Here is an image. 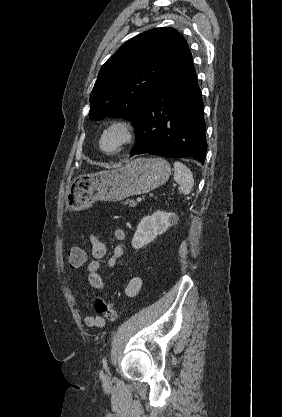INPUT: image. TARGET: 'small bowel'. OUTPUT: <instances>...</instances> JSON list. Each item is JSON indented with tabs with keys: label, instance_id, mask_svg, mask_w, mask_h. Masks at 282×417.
Wrapping results in <instances>:
<instances>
[{
	"label": "small bowel",
	"instance_id": "c3829d8e",
	"mask_svg": "<svg viewBox=\"0 0 282 417\" xmlns=\"http://www.w3.org/2000/svg\"><path fill=\"white\" fill-rule=\"evenodd\" d=\"M114 238L119 242L126 240V232L121 227H116L113 230ZM89 241L91 244L92 260L87 266V284L90 288L99 290L105 285L104 277L101 275L100 270L102 268L103 259L106 256L107 248L105 243L97 236L96 233L91 232L89 234ZM124 253V248L121 245L115 247L112 256L107 260L106 267L111 269L115 266L117 259H119ZM143 281L141 277H132L126 285L125 295L128 298L135 297L142 288ZM85 324L93 328H102L105 326L104 317L88 314L84 318Z\"/></svg>",
	"mask_w": 282,
	"mask_h": 417
}]
</instances>
